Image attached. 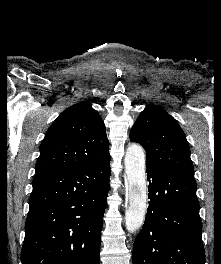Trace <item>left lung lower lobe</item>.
I'll return each mask as SVG.
<instances>
[{
    "mask_svg": "<svg viewBox=\"0 0 221 264\" xmlns=\"http://www.w3.org/2000/svg\"><path fill=\"white\" fill-rule=\"evenodd\" d=\"M146 166L150 201L133 264H204L194 177Z\"/></svg>",
    "mask_w": 221,
    "mask_h": 264,
    "instance_id": "1",
    "label": "left lung lower lobe"
}]
</instances>
